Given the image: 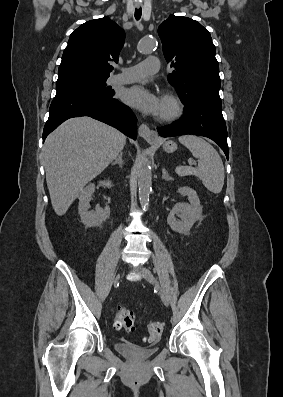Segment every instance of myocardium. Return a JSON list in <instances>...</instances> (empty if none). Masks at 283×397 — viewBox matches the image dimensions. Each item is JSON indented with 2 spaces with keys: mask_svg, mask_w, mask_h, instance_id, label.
Masks as SVG:
<instances>
[{
  "mask_svg": "<svg viewBox=\"0 0 283 397\" xmlns=\"http://www.w3.org/2000/svg\"><path fill=\"white\" fill-rule=\"evenodd\" d=\"M162 100L170 105V109L159 115V120L162 122H170L178 119L184 110V105L181 99L173 93H165Z\"/></svg>",
  "mask_w": 283,
  "mask_h": 397,
  "instance_id": "obj_1",
  "label": "myocardium"
}]
</instances>
